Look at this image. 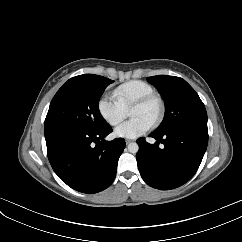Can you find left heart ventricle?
<instances>
[{"mask_svg": "<svg viewBox=\"0 0 242 242\" xmlns=\"http://www.w3.org/2000/svg\"><path fill=\"white\" fill-rule=\"evenodd\" d=\"M158 112V105L155 101L150 102L149 104L141 107H132L129 111L131 117H140L149 122L150 124L156 118Z\"/></svg>", "mask_w": 242, "mask_h": 242, "instance_id": "obj_1", "label": "left heart ventricle"}]
</instances>
